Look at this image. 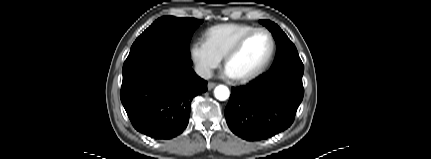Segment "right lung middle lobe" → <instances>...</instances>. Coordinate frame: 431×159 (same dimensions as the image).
Masks as SVG:
<instances>
[{"mask_svg": "<svg viewBox=\"0 0 431 159\" xmlns=\"http://www.w3.org/2000/svg\"><path fill=\"white\" fill-rule=\"evenodd\" d=\"M202 20L164 16L157 19L133 43L130 53L152 45L176 49L190 57L189 43Z\"/></svg>", "mask_w": 431, "mask_h": 159, "instance_id": "1", "label": "right lung middle lobe"}]
</instances>
